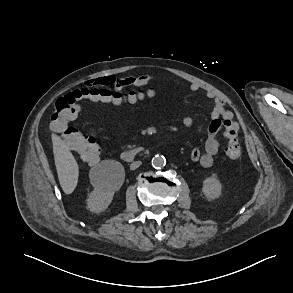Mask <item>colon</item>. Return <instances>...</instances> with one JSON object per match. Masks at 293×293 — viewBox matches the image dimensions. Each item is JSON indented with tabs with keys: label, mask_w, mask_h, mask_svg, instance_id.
Here are the masks:
<instances>
[{
	"label": "colon",
	"mask_w": 293,
	"mask_h": 293,
	"mask_svg": "<svg viewBox=\"0 0 293 293\" xmlns=\"http://www.w3.org/2000/svg\"><path fill=\"white\" fill-rule=\"evenodd\" d=\"M121 96L115 94L109 86L104 84L67 93L55 103L51 115V127L55 132L61 134L65 143L79 154L84 163L95 164L101 151L96 139L70 126L69 123L80 112L79 103L82 99L89 98L93 101L107 102ZM224 127L225 154L229 159L236 160L241 155V148L237 139L238 127L233 121H225Z\"/></svg>",
	"instance_id": "colon-1"
}]
</instances>
